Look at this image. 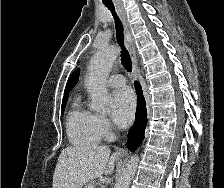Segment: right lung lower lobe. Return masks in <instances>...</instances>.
<instances>
[{"instance_id": "98d812e1", "label": "right lung lower lobe", "mask_w": 224, "mask_h": 188, "mask_svg": "<svg viewBox=\"0 0 224 188\" xmlns=\"http://www.w3.org/2000/svg\"><path fill=\"white\" fill-rule=\"evenodd\" d=\"M135 88L138 94L137 110L135 116L136 119L128 135V147L131 151H135V149L141 145L144 139V130L147 124L145 100L138 82H135Z\"/></svg>"}]
</instances>
